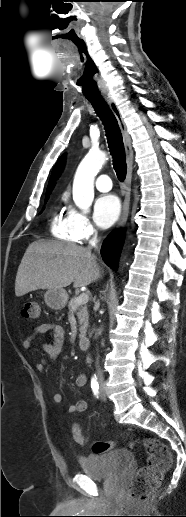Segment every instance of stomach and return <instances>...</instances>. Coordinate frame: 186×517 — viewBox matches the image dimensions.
<instances>
[{
	"instance_id": "obj_1",
	"label": "stomach",
	"mask_w": 186,
	"mask_h": 517,
	"mask_svg": "<svg viewBox=\"0 0 186 517\" xmlns=\"http://www.w3.org/2000/svg\"><path fill=\"white\" fill-rule=\"evenodd\" d=\"M44 300L48 307L60 310L63 309L68 300V294L65 289H48L44 293Z\"/></svg>"
}]
</instances>
